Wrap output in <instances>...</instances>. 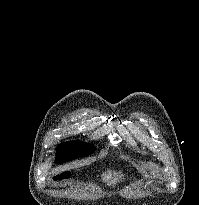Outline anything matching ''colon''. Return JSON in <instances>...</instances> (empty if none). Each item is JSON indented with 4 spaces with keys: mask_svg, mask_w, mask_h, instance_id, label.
<instances>
[{
    "mask_svg": "<svg viewBox=\"0 0 199 205\" xmlns=\"http://www.w3.org/2000/svg\"><path fill=\"white\" fill-rule=\"evenodd\" d=\"M68 178V174H66V173H62V174H60L59 175V179H67Z\"/></svg>",
    "mask_w": 199,
    "mask_h": 205,
    "instance_id": "colon-1",
    "label": "colon"
}]
</instances>
